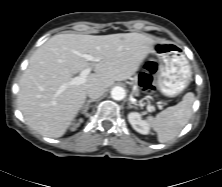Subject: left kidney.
Listing matches in <instances>:
<instances>
[{
  "mask_svg": "<svg viewBox=\"0 0 222 187\" xmlns=\"http://www.w3.org/2000/svg\"><path fill=\"white\" fill-rule=\"evenodd\" d=\"M128 121L132 125L133 129L140 134H149V124L141 118L138 112H131L128 114Z\"/></svg>",
  "mask_w": 222,
  "mask_h": 187,
  "instance_id": "obj_1",
  "label": "left kidney"
}]
</instances>
